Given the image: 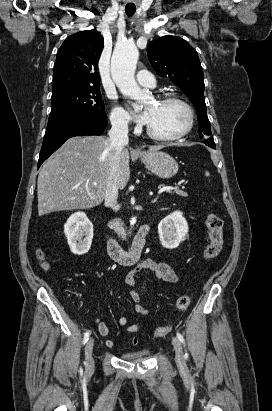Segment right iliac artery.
Wrapping results in <instances>:
<instances>
[{"label":"right iliac artery","mask_w":272,"mask_h":411,"mask_svg":"<svg viewBox=\"0 0 272 411\" xmlns=\"http://www.w3.org/2000/svg\"><path fill=\"white\" fill-rule=\"evenodd\" d=\"M89 336H90V331H87V332L84 334L83 344H85V343L88 341Z\"/></svg>","instance_id":"obj_1"}]
</instances>
